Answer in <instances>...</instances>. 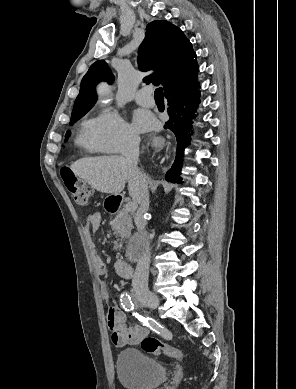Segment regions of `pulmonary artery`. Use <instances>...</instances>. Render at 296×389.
Instances as JSON below:
<instances>
[{"label":"pulmonary artery","mask_w":296,"mask_h":389,"mask_svg":"<svg viewBox=\"0 0 296 389\" xmlns=\"http://www.w3.org/2000/svg\"><path fill=\"white\" fill-rule=\"evenodd\" d=\"M135 100L142 106L151 107L154 105V100L151 95V90L147 87L140 89L135 94Z\"/></svg>","instance_id":"obj_1"}]
</instances>
